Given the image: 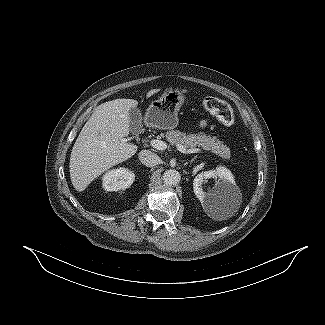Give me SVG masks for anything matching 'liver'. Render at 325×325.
I'll use <instances>...</instances> for the list:
<instances>
[{
    "label": "liver",
    "instance_id": "liver-1",
    "mask_svg": "<svg viewBox=\"0 0 325 325\" xmlns=\"http://www.w3.org/2000/svg\"><path fill=\"white\" fill-rule=\"evenodd\" d=\"M159 89L150 90L149 98ZM138 102L115 99L97 106L82 128L70 156V179L81 192L104 171L131 158L137 145L128 143L129 111Z\"/></svg>",
    "mask_w": 325,
    "mask_h": 325
}]
</instances>
